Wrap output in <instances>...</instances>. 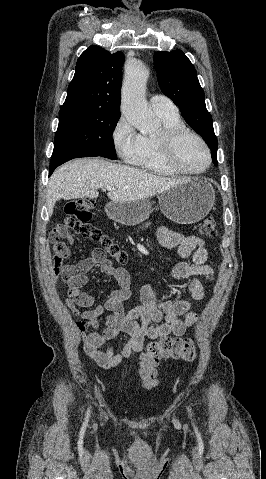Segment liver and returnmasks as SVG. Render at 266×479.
<instances>
[{"label": "liver", "mask_w": 266, "mask_h": 479, "mask_svg": "<svg viewBox=\"0 0 266 479\" xmlns=\"http://www.w3.org/2000/svg\"><path fill=\"white\" fill-rule=\"evenodd\" d=\"M161 177L102 158L72 160L52 174L47 186V209L52 215L59 199L97 198L98 190L114 187L107 196L115 202L146 200L186 181Z\"/></svg>", "instance_id": "1"}]
</instances>
